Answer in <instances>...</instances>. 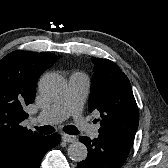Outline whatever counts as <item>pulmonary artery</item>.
I'll list each match as a JSON object with an SVG mask.
<instances>
[{
  "label": "pulmonary artery",
  "mask_w": 168,
  "mask_h": 168,
  "mask_svg": "<svg viewBox=\"0 0 168 168\" xmlns=\"http://www.w3.org/2000/svg\"><path fill=\"white\" fill-rule=\"evenodd\" d=\"M90 86L89 77L81 72L72 73L68 80V86L61 99L42 110L37 121L52 124L73 116L79 127L87 132L91 138L99 135L98 127L90 125L81 115V111L88 95Z\"/></svg>",
  "instance_id": "pulmonary-artery-1"
}]
</instances>
